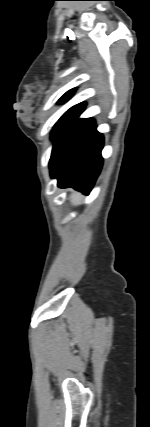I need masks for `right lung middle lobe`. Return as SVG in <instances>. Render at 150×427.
<instances>
[{"instance_id":"right-lung-middle-lobe-1","label":"right lung middle lobe","mask_w":150,"mask_h":427,"mask_svg":"<svg viewBox=\"0 0 150 427\" xmlns=\"http://www.w3.org/2000/svg\"><path fill=\"white\" fill-rule=\"evenodd\" d=\"M80 112L82 111L70 109L66 113H64V115L58 120V122L53 128L51 136V139L54 141V145L64 133L66 128L72 123V121L79 115Z\"/></svg>"}]
</instances>
